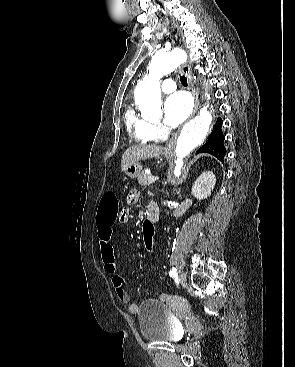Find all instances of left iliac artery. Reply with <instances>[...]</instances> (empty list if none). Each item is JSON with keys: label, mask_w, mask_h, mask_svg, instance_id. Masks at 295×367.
<instances>
[{"label": "left iliac artery", "mask_w": 295, "mask_h": 367, "mask_svg": "<svg viewBox=\"0 0 295 367\" xmlns=\"http://www.w3.org/2000/svg\"><path fill=\"white\" fill-rule=\"evenodd\" d=\"M170 277H176L177 276V269L175 267H172V269L169 272Z\"/></svg>", "instance_id": "44dca946"}]
</instances>
